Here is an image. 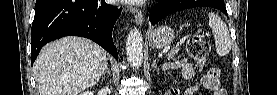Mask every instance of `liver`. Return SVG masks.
I'll return each instance as SVG.
<instances>
[{
  "mask_svg": "<svg viewBox=\"0 0 277 95\" xmlns=\"http://www.w3.org/2000/svg\"><path fill=\"white\" fill-rule=\"evenodd\" d=\"M107 65L98 44L69 36L45 45L33 69L40 95H78L99 82Z\"/></svg>",
  "mask_w": 277,
  "mask_h": 95,
  "instance_id": "liver-1",
  "label": "liver"
}]
</instances>
